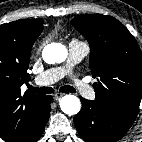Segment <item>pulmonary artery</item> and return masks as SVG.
Masks as SVG:
<instances>
[{"instance_id":"pulmonary-artery-1","label":"pulmonary artery","mask_w":142,"mask_h":142,"mask_svg":"<svg viewBox=\"0 0 142 142\" xmlns=\"http://www.w3.org/2000/svg\"><path fill=\"white\" fill-rule=\"evenodd\" d=\"M89 50L87 43L77 40L71 41L69 43V55L66 64L45 70L35 77L34 82L39 86H47L57 82L68 75L73 66L79 63L89 53ZM73 87L83 97L90 100L95 98L93 88L77 78L73 79Z\"/></svg>"}]
</instances>
